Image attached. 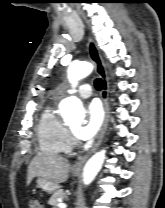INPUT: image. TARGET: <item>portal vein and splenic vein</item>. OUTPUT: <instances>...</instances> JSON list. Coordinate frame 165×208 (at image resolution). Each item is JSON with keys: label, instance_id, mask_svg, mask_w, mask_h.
Returning <instances> with one entry per match:
<instances>
[{"label": "portal vein and splenic vein", "instance_id": "portal-vein-and-splenic-vein-1", "mask_svg": "<svg viewBox=\"0 0 165 208\" xmlns=\"http://www.w3.org/2000/svg\"><path fill=\"white\" fill-rule=\"evenodd\" d=\"M67 205L65 203H59L58 208H66Z\"/></svg>", "mask_w": 165, "mask_h": 208}]
</instances>
